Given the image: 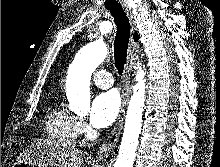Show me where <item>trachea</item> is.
Masks as SVG:
<instances>
[{
  "label": "trachea",
  "mask_w": 220,
  "mask_h": 167,
  "mask_svg": "<svg viewBox=\"0 0 220 167\" xmlns=\"http://www.w3.org/2000/svg\"><path fill=\"white\" fill-rule=\"evenodd\" d=\"M107 9L111 12L114 22L117 26V33L114 41V58L115 67L118 73L122 75L124 70V65L127 60V49L130 38V22L128 16L123 11L121 6L113 5L108 6Z\"/></svg>",
  "instance_id": "1"
}]
</instances>
